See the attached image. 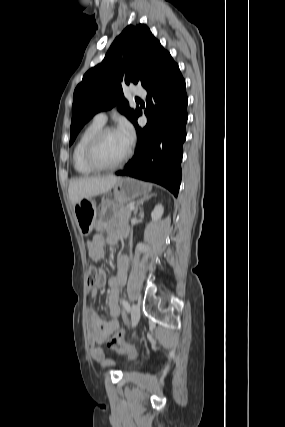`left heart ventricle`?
I'll return each instance as SVG.
<instances>
[{
  "mask_svg": "<svg viewBox=\"0 0 285 427\" xmlns=\"http://www.w3.org/2000/svg\"><path fill=\"white\" fill-rule=\"evenodd\" d=\"M128 148L129 146L118 131H112L101 142L98 150V159L104 164L114 163L125 155Z\"/></svg>",
  "mask_w": 285,
  "mask_h": 427,
  "instance_id": "1",
  "label": "left heart ventricle"
}]
</instances>
